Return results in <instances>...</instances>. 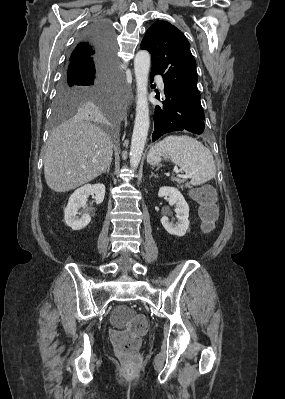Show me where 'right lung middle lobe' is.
Instances as JSON below:
<instances>
[{"mask_svg":"<svg viewBox=\"0 0 285 399\" xmlns=\"http://www.w3.org/2000/svg\"><path fill=\"white\" fill-rule=\"evenodd\" d=\"M113 97V86L85 87L62 79L54 103V123L76 111L78 114L90 112L107 118L111 115Z\"/></svg>","mask_w":285,"mask_h":399,"instance_id":"dd1d6c3e","label":"right lung middle lobe"}]
</instances>
